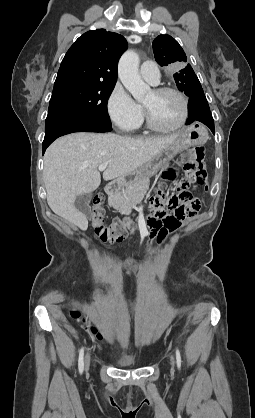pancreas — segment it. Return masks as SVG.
<instances>
[{"instance_id": "1", "label": "pancreas", "mask_w": 255, "mask_h": 418, "mask_svg": "<svg viewBox=\"0 0 255 418\" xmlns=\"http://www.w3.org/2000/svg\"><path fill=\"white\" fill-rule=\"evenodd\" d=\"M150 185L149 178H141L121 188L109 198V205L121 214L129 215L137 203L144 198Z\"/></svg>"}]
</instances>
